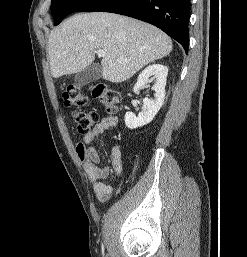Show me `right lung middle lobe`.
I'll list each match as a JSON object with an SVG mask.
<instances>
[{
  "label": "right lung middle lobe",
  "mask_w": 247,
  "mask_h": 257,
  "mask_svg": "<svg viewBox=\"0 0 247 257\" xmlns=\"http://www.w3.org/2000/svg\"><path fill=\"white\" fill-rule=\"evenodd\" d=\"M92 0H52L51 13L54 24L58 25L62 19L75 11L80 10Z\"/></svg>",
  "instance_id": "dd1d6c3e"
}]
</instances>
